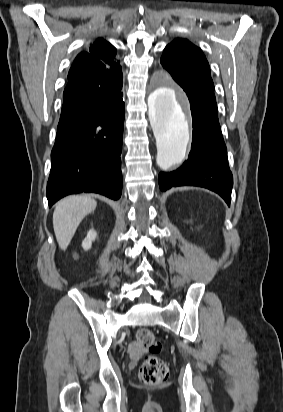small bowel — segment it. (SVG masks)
I'll return each instance as SVG.
<instances>
[{
    "mask_svg": "<svg viewBox=\"0 0 283 412\" xmlns=\"http://www.w3.org/2000/svg\"><path fill=\"white\" fill-rule=\"evenodd\" d=\"M128 353L132 359H137L143 354V348L139 344L131 342L128 346Z\"/></svg>",
    "mask_w": 283,
    "mask_h": 412,
    "instance_id": "small-bowel-1",
    "label": "small bowel"
}]
</instances>
